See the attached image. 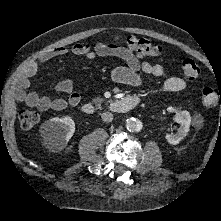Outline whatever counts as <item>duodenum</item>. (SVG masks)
Masks as SVG:
<instances>
[{
  "label": "duodenum",
  "instance_id": "410a0bca",
  "mask_svg": "<svg viewBox=\"0 0 221 221\" xmlns=\"http://www.w3.org/2000/svg\"><path fill=\"white\" fill-rule=\"evenodd\" d=\"M140 103V98L137 96H129L121 99H114L106 103V107L112 112L123 113L131 110ZM99 107L92 104L86 103L82 106L81 110L85 114H94L99 111Z\"/></svg>",
  "mask_w": 221,
  "mask_h": 221
}]
</instances>
